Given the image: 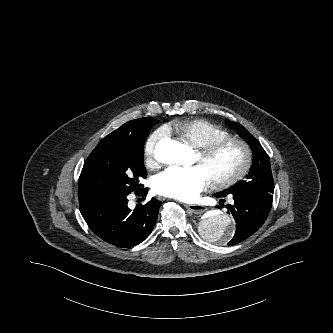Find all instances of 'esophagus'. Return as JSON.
I'll return each instance as SVG.
<instances>
[{
    "instance_id": "obj_1",
    "label": "esophagus",
    "mask_w": 333,
    "mask_h": 333,
    "mask_svg": "<svg viewBox=\"0 0 333 333\" xmlns=\"http://www.w3.org/2000/svg\"><path fill=\"white\" fill-rule=\"evenodd\" d=\"M185 208L193 214L200 215L203 214L206 208L199 204H185Z\"/></svg>"
}]
</instances>
